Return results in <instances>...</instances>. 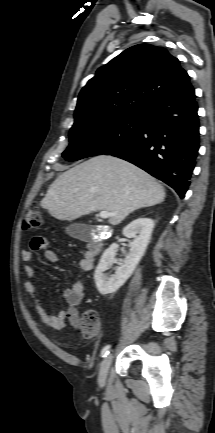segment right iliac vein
<instances>
[{"mask_svg":"<svg viewBox=\"0 0 215 433\" xmlns=\"http://www.w3.org/2000/svg\"><path fill=\"white\" fill-rule=\"evenodd\" d=\"M112 359H113L112 354H109L105 357V359L103 360V362L101 364L99 376H98V382L100 385H104L106 382L107 374H108L110 365L112 363Z\"/></svg>","mask_w":215,"mask_h":433,"instance_id":"1","label":"right iliac vein"}]
</instances>
